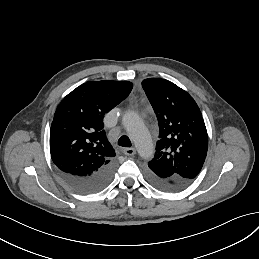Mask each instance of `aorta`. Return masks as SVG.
<instances>
[{
	"instance_id": "obj_1",
	"label": "aorta",
	"mask_w": 259,
	"mask_h": 259,
	"mask_svg": "<svg viewBox=\"0 0 259 259\" xmlns=\"http://www.w3.org/2000/svg\"><path fill=\"white\" fill-rule=\"evenodd\" d=\"M123 125L141 157L149 159L154 153V146L149 132L144 126L139 115L135 112H127L123 117Z\"/></svg>"
}]
</instances>
